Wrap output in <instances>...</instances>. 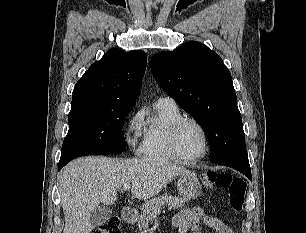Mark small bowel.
I'll return each mask as SVG.
<instances>
[{"instance_id":"c3829d8e","label":"small bowel","mask_w":306,"mask_h":233,"mask_svg":"<svg viewBox=\"0 0 306 233\" xmlns=\"http://www.w3.org/2000/svg\"><path fill=\"white\" fill-rule=\"evenodd\" d=\"M178 233H202V226H208L218 233H234V230L218 218L206 215L200 207L183 209L172 220Z\"/></svg>"}]
</instances>
